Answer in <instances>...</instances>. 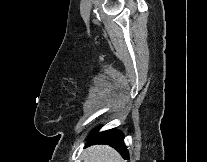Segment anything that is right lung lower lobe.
Listing matches in <instances>:
<instances>
[{
	"instance_id": "1",
	"label": "right lung lower lobe",
	"mask_w": 207,
	"mask_h": 162,
	"mask_svg": "<svg viewBox=\"0 0 207 162\" xmlns=\"http://www.w3.org/2000/svg\"><path fill=\"white\" fill-rule=\"evenodd\" d=\"M91 144H108L119 151L125 159L129 158L128 151L124 144V136L118 130L111 129L103 132H98V129H95L90 134L87 141V146Z\"/></svg>"
}]
</instances>
